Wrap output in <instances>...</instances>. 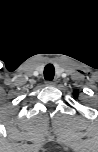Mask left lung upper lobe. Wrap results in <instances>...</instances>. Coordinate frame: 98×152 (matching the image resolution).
I'll list each match as a JSON object with an SVG mask.
<instances>
[{
    "label": "left lung upper lobe",
    "mask_w": 98,
    "mask_h": 152,
    "mask_svg": "<svg viewBox=\"0 0 98 152\" xmlns=\"http://www.w3.org/2000/svg\"><path fill=\"white\" fill-rule=\"evenodd\" d=\"M73 95H74L75 98H77L78 97V92L74 91Z\"/></svg>",
    "instance_id": "1"
}]
</instances>
